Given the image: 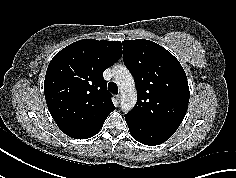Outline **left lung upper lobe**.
Listing matches in <instances>:
<instances>
[{"mask_svg":"<svg viewBox=\"0 0 236 178\" xmlns=\"http://www.w3.org/2000/svg\"><path fill=\"white\" fill-rule=\"evenodd\" d=\"M122 45L124 63L137 88V103L125 118L175 132L190 98L181 64L165 48L149 40H125Z\"/></svg>","mask_w":236,"mask_h":178,"instance_id":"1","label":"left lung upper lobe"}]
</instances>
